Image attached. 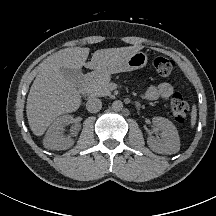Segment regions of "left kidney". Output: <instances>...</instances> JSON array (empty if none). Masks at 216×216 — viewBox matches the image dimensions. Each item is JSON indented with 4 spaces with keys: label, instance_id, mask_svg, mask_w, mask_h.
Instances as JSON below:
<instances>
[{
    "label": "left kidney",
    "instance_id": "1",
    "mask_svg": "<svg viewBox=\"0 0 216 216\" xmlns=\"http://www.w3.org/2000/svg\"><path fill=\"white\" fill-rule=\"evenodd\" d=\"M153 124L163 132V141L149 137V148L159 154H173L180 150V139L174 124L166 118L154 117Z\"/></svg>",
    "mask_w": 216,
    "mask_h": 216
}]
</instances>
